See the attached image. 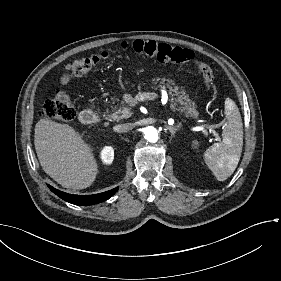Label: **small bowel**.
<instances>
[{"instance_id": "c3829d8e", "label": "small bowel", "mask_w": 281, "mask_h": 281, "mask_svg": "<svg viewBox=\"0 0 281 281\" xmlns=\"http://www.w3.org/2000/svg\"><path fill=\"white\" fill-rule=\"evenodd\" d=\"M71 78L69 74H63L61 77L62 85H67L70 82Z\"/></svg>"}]
</instances>
